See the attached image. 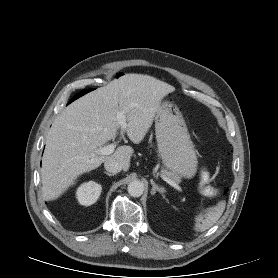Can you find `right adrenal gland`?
<instances>
[{"label":"right adrenal gland","instance_id":"right-adrenal-gland-1","mask_svg":"<svg viewBox=\"0 0 278 278\" xmlns=\"http://www.w3.org/2000/svg\"><path fill=\"white\" fill-rule=\"evenodd\" d=\"M104 173L106 174V175H108V176H114L115 174H112V173H108V172H106V171H104Z\"/></svg>","mask_w":278,"mask_h":278}]
</instances>
